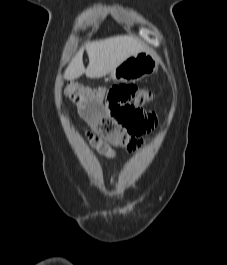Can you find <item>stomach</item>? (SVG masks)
I'll return each mask as SVG.
<instances>
[{"instance_id":"stomach-1","label":"stomach","mask_w":227,"mask_h":265,"mask_svg":"<svg viewBox=\"0 0 227 265\" xmlns=\"http://www.w3.org/2000/svg\"><path fill=\"white\" fill-rule=\"evenodd\" d=\"M157 68L158 60L146 50L125 59L109 73V77L117 82H135L153 74Z\"/></svg>"}]
</instances>
